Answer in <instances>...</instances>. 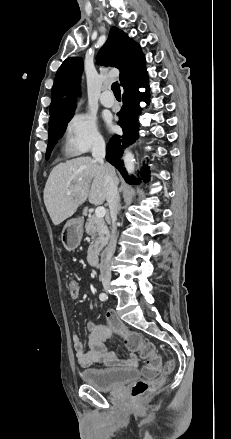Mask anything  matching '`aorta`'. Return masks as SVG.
Returning <instances> with one entry per match:
<instances>
[{
    "instance_id": "aorta-1",
    "label": "aorta",
    "mask_w": 231,
    "mask_h": 439,
    "mask_svg": "<svg viewBox=\"0 0 231 439\" xmlns=\"http://www.w3.org/2000/svg\"><path fill=\"white\" fill-rule=\"evenodd\" d=\"M124 165L128 173H133L135 170V158L130 151H126L124 155Z\"/></svg>"
}]
</instances>
